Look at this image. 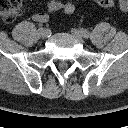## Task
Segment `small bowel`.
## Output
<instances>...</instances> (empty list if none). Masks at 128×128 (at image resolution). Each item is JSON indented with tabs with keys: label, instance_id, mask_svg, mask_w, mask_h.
I'll return each mask as SVG.
<instances>
[{
	"label": "small bowel",
	"instance_id": "obj_1",
	"mask_svg": "<svg viewBox=\"0 0 128 128\" xmlns=\"http://www.w3.org/2000/svg\"><path fill=\"white\" fill-rule=\"evenodd\" d=\"M63 2L61 0H49L46 6V11L35 13L32 18L39 23H45L49 20L50 15L61 10Z\"/></svg>",
	"mask_w": 128,
	"mask_h": 128
}]
</instances>
